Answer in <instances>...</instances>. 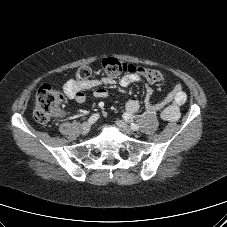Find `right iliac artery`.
<instances>
[{"label": "right iliac artery", "instance_id": "obj_1", "mask_svg": "<svg viewBox=\"0 0 227 227\" xmlns=\"http://www.w3.org/2000/svg\"><path fill=\"white\" fill-rule=\"evenodd\" d=\"M99 118V114H93L89 119H88V123L93 124L95 123Z\"/></svg>", "mask_w": 227, "mask_h": 227}]
</instances>
